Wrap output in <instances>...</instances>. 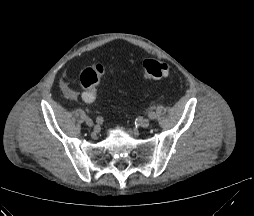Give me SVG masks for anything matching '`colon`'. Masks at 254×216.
<instances>
[{"label": "colon", "instance_id": "colon-1", "mask_svg": "<svg viewBox=\"0 0 254 216\" xmlns=\"http://www.w3.org/2000/svg\"><path fill=\"white\" fill-rule=\"evenodd\" d=\"M144 76L151 81L168 78L172 75L170 66L162 61L146 59L143 62ZM112 72V71H111ZM105 74V68L101 65L85 69L80 75V83L85 89V98L94 100L96 97V87Z\"/></svg>", "mask_w": 254, "mask_h": 216}]
</instances>
